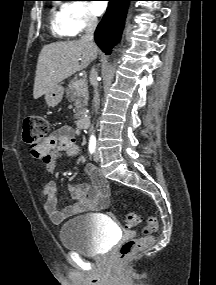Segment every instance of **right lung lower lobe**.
I'll return each instance as SVG.
<instances>
[{
	"label": "right lung lower lobe",
	"mask_w": 216,
	"mask_h": 285,
	"mask_svg": "<svg viewBox=\"0 0 216 285\" xmlns=\"http://www.w3.org/2000/svg\"><path fill=\"white\" fill-rule=\"evenodd\" d=\"M135 0H109L107 11L95 31V41L106 54L119 42L128 4Z\"/></svg>",
	"instance_id": "1"
}]
</instances>
